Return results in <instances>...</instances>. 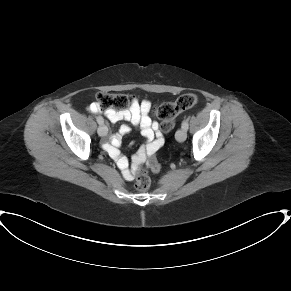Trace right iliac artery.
<instances>
[{"label":"right iliac artery","mask_w":291,"mask_h":291,"mask_svg":"<svg viewBox=\"0 0 291 291\" xmlns=\"http://www.w3.org/2000/svg\"><path fill=\"white\" fill-rule=\"evenodd\" d=\"M96 120H97L98 124H100V125L104 123V119L101 116H97Z\"/></svg>","instance_id":"obj_1"}]
</instances>
